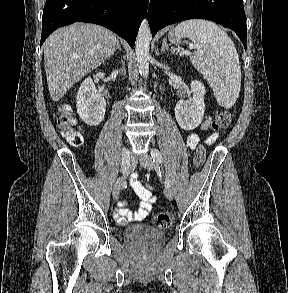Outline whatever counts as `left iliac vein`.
I'll return each mask as SVG.
<instances>
[{"mask_svg": "<svg viewBox=\"0 0 288 293\" xmlns=\"http://www.w3.org/2000/svg\"><path fill=\"white\" fill-rule=\"evenodd\" d=\"M139 160L140 164L146 169L153 170L156 167L155 162L149 155L141 156ZM164 193L169 200L173 199V192L170 188H165Z\"/></svg>", "mask_w": 288, "mask_h": 293, "instance_id": "1", "label": "left iliac vein"}]
</instances>
